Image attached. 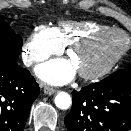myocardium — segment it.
I'll use <instances>...</instances> for the list:
<instances>
[{
    "instance_id": "f54148a6",
    "label": "myocardium",
    "mask_w": 131,
    "mask_h": 131,
    "mask_svg": "<svg viewBox=\"0 0 131 131\" xmlns=\"http://www.w3.org/2000/svg\"><path fill=\"white\" fill-rule=\"evenodd\" d=\"M108 35H121L126 39V43L124 47L116 53L112 58H110L105 64L98 67L97 69L91 71H79V75L86 80H95L103 77L107 73H109L113 67L122 59V57L127 53L130 48L131 40L128 34L117 28H108L104 30H99L93 32L79 40L74 41L68 47V53L73 54L75 51L84 49L93 45L96 41L101 39L102 37Z\"/></svg>"
}]
</instances>
